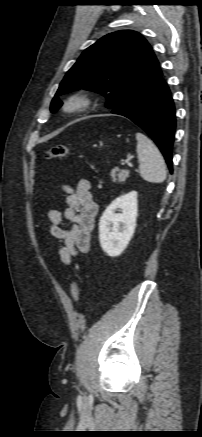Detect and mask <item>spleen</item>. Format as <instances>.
<instances>
[{"mask_svg": "<svg viewBox=\"0 0 202 437\" xmlns=\"http://www.w3.org/2000/svg\"><path fill=\"white\" fill-rule=\"evenodd\" d=\"M136 140L141 177L148 182L162 183L166 179V165L160 151L140 132L136 133Z\"/></svg>", "mask_w": 202, "mask_h": 437, "instance_id": "3e777b00", "label": "spleen"}]
</instances>
